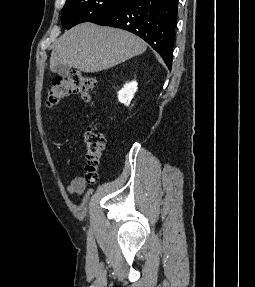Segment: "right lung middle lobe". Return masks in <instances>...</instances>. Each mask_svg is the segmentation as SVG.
I'll return each mask as SVG.
<instances>
[{"label":"right lung middle lobe","instance_id":"1","mask_svg":"<svg viewBox=\"0 0 255 287\" xmlns=\"http://www.w3.org/2000/svg\"><path fill=\"white\" fill-rule=\"evenodd\" d=\"M126 0H66L62 9L61 22L64 29L91 22L100 14L112 9Z\"/></svg>","mask_w":255,"mask_h":287}]
</instances>
